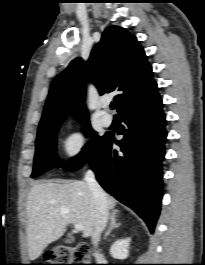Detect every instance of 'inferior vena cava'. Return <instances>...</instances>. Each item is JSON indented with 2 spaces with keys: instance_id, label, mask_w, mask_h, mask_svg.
Segmentation results:
<instances>
[{
  "instance_id": "1",
  "label": "inferior vena cava",
  "mask_w": 205,
  "mask_h": 265,
  "mask_svg": "<svg viewBox=\"0 0 205 265\" xmlns=\"http://www.w3.org/2000/svg\"><path fill=\"white\" fill-rule=\"evenodd\" d=\"M85 180L92 192L95 212H96V222L95 229L92 234V244L95 248H97L98 243L100 241V236L102 231L104 230L107 221H108V207H107V198L106 194L98 184L95 179V175L91 170H88L85 175ZM97 254V252L95 253Z\"/></svg>"
}]
</instances>
